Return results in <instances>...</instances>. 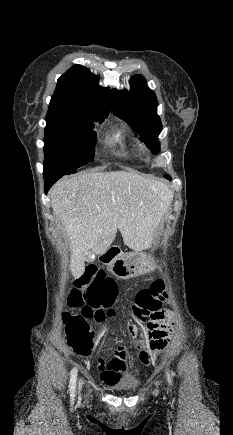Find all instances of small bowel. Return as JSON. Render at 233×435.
<instances>
[{"label": "small bowel", "instance_id": "c3829d8e", "mask_svg": "<svg viewBox=\"0 0 233 435\" xmlns=\"http://www.w3.org/2000/svg\"><path fill=\"white\" fill-rule=\"evenodd\" d=\"M92 266H89L90 268ZM119 286L114 280H110L109 283L92 282L88 289L84 292L85 298H90L96 294H103L112 299L118 295ZM136 317V316H135ZM170 314L166 312H158L148 323L152 329H163L168 326L167 322H164L165 318H169ZM137 319L141 320L139 317ZM99 379L106 386H115L122 382L123 373L125 372V365L121 359V356L115 355L109 360L99 359L98 364ZM134 377L138 376L137 371L132 373Z\"/></svg>", "mask_w": 233, "mask_h": 435}]
</instances>
